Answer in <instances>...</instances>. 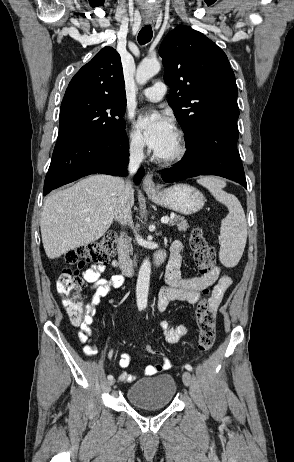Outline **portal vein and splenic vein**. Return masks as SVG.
<instances>
[{
    "label": "portal vein and splenic vein",
    "mask_w": 294,
    "mask_h": 462,
    "mask_svg": "<svg viewBox=\"0 0 294 462\" xmlns=\"http://www.w3.org/2000/svg\"><path fill=\"white\" fill-rule=\"evenodd\" d=\"M161 222H162L163 224H166V223L170 222V218H168V217H163V218L161 219Z\"/></svg>",
    "instance_id": "18ae733b"
}]
</instances>
